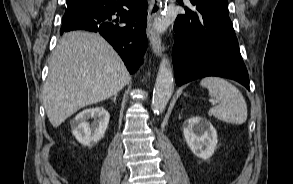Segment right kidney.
<instances>
[{
	"instance_id": "1",
	"label": "right kidney",
	"mask_w": 293,
	"mask_h": 184,
	"mask_svg": "<svg viewBox=\"0 0 293 184\" xmlns=\"http://www.w3.org/2000/svg\"><path fill=\"white\" fill-rule=\"evenodd\" d=\"M89 119H94L89 123ZM110 115L103 107L86 109L70 121L72 134L84 146H93L104 137Z\"/></svg>"
}]
</instances>
